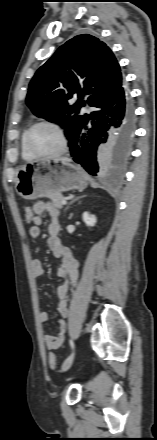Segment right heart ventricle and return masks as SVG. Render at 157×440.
Returning <instances> with one entry per match:
<instances>
[{
    "instance_id": "obj_1",
    "label": "right heart ventricle",
    "mask_w": 157,
    "mask_h": 440,
    "mask_svg": "<svg viewBox=\"0 0 157 440\" xmlns=\"http://www.w3.org/2000/svg\"><path fill=\"white\" fill-rule=\"evenodd\" d=\"M27 130H28V129H26V130L23 132L22 136H21V142H20V145H21V154H22V157H23L24 159H26V160H31V159H33L35 156H34L32 153H30V151H29V150L27 149V147H26L25 136H26V132H27Z\"/></svg>"
}]
</instances>
